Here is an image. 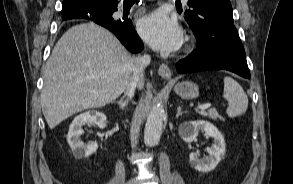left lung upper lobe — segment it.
Here are the masks:
<instances>
[{"instance_id":"obj_1","label":"left lung upper lobe","mask_w":293,"mask_h":184,"mask_svg":"<svg viewBox=\"0 0 293 184\" xmlns=\"http://www.w3.org/2000/svg\"><path fill=\"white\" fill-rule=\"evenodd\" d=\"M187 5L190 9L185 11V19L197 35L204 33L211 38L213 33L233 24L229 0H189ZM176 8L179 13L183 11L180 0L176 2Z\"/></svg>"}]
</instances>
